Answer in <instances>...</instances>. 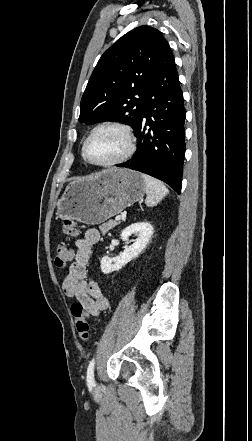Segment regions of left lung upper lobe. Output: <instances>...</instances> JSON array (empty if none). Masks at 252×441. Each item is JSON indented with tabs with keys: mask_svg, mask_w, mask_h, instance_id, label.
<instances>
[{
	"mask_svg": "<svg viewBox=\"0 0 252 441\" xmlns=\"http://www.w3.org/2000/svg\"><path fill=\"white\" fill-rule=\"evenodd\" d=\"M166 42L160 31L139 26L99 59L80 103L79 121H120L136 132L157 59Z\"/></svg>",
	"mask_w": 252,
	"mask_h": 441,
	"instance_id": "obj_1",
	"label": "left lung upper lobe"
}]
</instances>
